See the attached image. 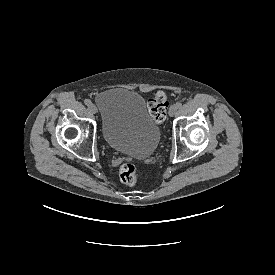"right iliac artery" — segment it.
Returning a JSON list of instances; mask_svg holds the SVG:
<instances>
[{
    "instance_id": "obj_1",
    "label": "right iliac artery",
    "mask_w": 275,
    "mask_h": 275,
    "mask_svg": "<svg viewBox=\"0 0 275 275\" xmlns=\"http://www.w3.org/2000/svg\"><path fill=\"white\" fill-rule=\"evenodd\" d=\"M84 103L87 105V106H90L92 104V101L90 99H85Z\"/></svg>"
}]
</instances>
